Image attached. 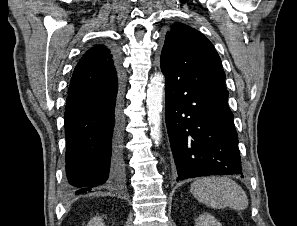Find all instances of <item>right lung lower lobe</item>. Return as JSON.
I'll list each match as a JSON object with an SVG mask.
<instances>
[{
    "label": "right lung lower lobe",
    "mask_w": 297,
    "mask_h": 226,
    "mask_svg": "<svg viewBox=\"0 0 297 226\" xmlns=\"http://www.w3.org/2000/svg\"><path fill=\"white\" fill-rule=\"evenodd\" d=\"M122 76L116 82L69 94L65 108L66 176L69 194L123 182Z\"/></svg>",
    "instance_id": "right-lung-lower-lobe-1"
}]
</instances>
